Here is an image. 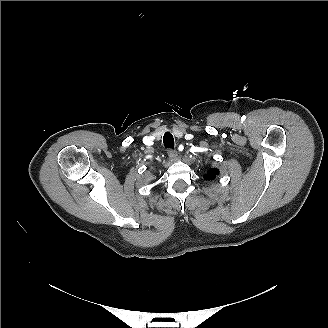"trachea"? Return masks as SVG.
Instances as JSON below:
<instances>
[{
  "mask_svg": "<svg viewBox=\"0 0 328 328\" xmlns=\"http://www.w3.org/2000/svg\"><path fill=\"white\" fill-rule=\"evenodd\" d=\"M163 143L166 148H174V138L170 132L164 134Z\"/></svg>",
  "mask_w": 328,
  "mask_h": 328,
  "instance_id": "1",
  "label": "trachea"
}]
</instances>
